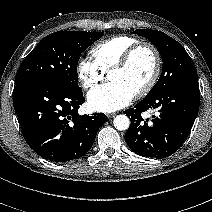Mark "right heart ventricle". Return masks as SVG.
Instances as JSON below:
<instances>
[{
	"label": "right heart ventricle",
	"mask_w": 212,
	"mask_h": 212,
	"mask_svg": "<svg viewBox=\"0 0 212 212\" xmlns=\"http://www.w3.org/2000/svg\"><path fill=\"white\" fill-rule=\"evenodd\" d=\"M138 43L139 40L132 36H114L94 45L90 50L91 58L106 73L129 48Z\"/></svg>",
	"instance_id": "1"
}]
</instances>
